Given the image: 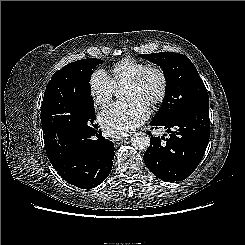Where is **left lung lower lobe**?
<instances>
[{
	"label": "left lung lower lobe",
	"mask_w": 245,
	"mask_h": 245,
	"mask_svg": "<svg viewBox=\"0 0 245 245\" xmlns=\"http://www.w3.org/2000/svg\"><path fill=\"white\" fill-rule=\"evenodd\" d=\"M153 128L167 129L169 138L153 137L144 154L147 168L165 182L181 181L201 162L210 135L209 106L193 107L169 122L152 120ZM175 127L176 131L170 128ZM165 140L166 142H162Z\"/></svg>",
	"instance_id": "1"
}]
</instances>
